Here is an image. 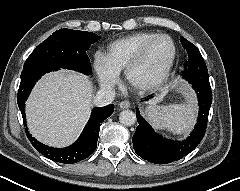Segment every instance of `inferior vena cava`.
<instances>
[{
    "label": "inferior vena cava",
    "instance_id": "obj_1",
    "mask_svg": "<svg viewBox=\"0 0 240 191\" xmlns=\"http://www.w3.org/2000/svg\"><path fill=\"white\" fill-rule=\"evenodd\" d=\"M115 93L109 89H101L97 92L94 98V105L98 107H103L111 104L114 100Z\"/></svg>",
    "mask_w": 240,
    "mask_h": 191
}]
</instances>
